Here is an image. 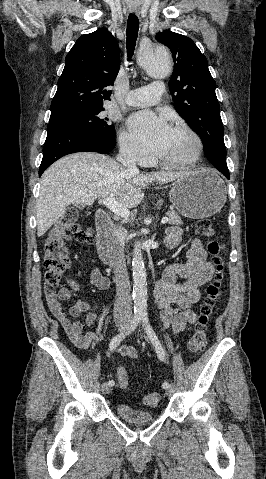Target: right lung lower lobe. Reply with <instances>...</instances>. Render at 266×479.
I'll list each match as a JSON object with an SVG mask.
<instances>
[{"instance_id": "obj_1", "label": "right lung lower lobe", "mask_w": 266, "mask_h": 479, "mask_svg": "<svg viewBox=\"0 0 266 479\" xmlns=\"http://www.w3.org/2000/svg\"><path fill=\"white\" fill-rule=\"evenodd\" d=\"M114 137L62 125H49L43 148L39 176L59 158L75 152L109 153L115 147Z\"/></svg>"}]
</instances>
